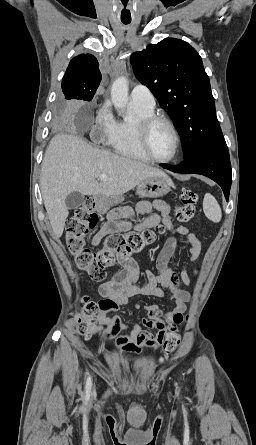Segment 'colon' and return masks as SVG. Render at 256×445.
Listing matches in <instances>:
<instances>
[{
	"label": "colon",
	"mask_w": 256,
	"mask_h": 445,
	"mask_svg": "<svg viewBox=\"0 0 256 445\" xmlns=\"http://www.w3.org/2000/svg\"><path fill=\"white\" fill-rule=\"evenodd\" d=\"M198 196L192 190H183L180 197V205L175 210V216L180 222L190 221L197 212ZM94 201L87 199L75 212L74 217L69 220L66 230V245L69 252L74 257L78 268L87 273L91 279L102 281L106 276V269L115 265L118 258H128L131 254L137 253L146 246L153 244L159 233L163 232V227L155 229H143L139 232H131L127 235L118 233L110 234L104 247L93 252L86 247V242L90 232L98 224V216L93 211ZM83 308L78 319L79 333L85 337H92L100 331L97 315L100 305L85 297L82 300ZM187 316L176 317L177 323H183ZM179 344V335L174 331L166 332L161 341L164 356L172 353Z\"/></svg>",
	"instance_id": "colon-1"
}]
</instances>
